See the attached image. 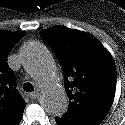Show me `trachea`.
Masks as SVG:
<instances>
[{
  "instance_id": "trachea-1",
  "label": "trachea",
  "mask_w": 125,
  "mask_h": 125,
  "mask_svg": "<svg viewBox=\"0 0 125 125\" xmlns=\"http://www.w3.org/2000/svg\"><path fill=\"white\" fill-rule=\"evenodd\" d=\"M23 89L26 92H32L34 90V86L31 83L27 82L23 85Z\"/></svg>"
}]
</instances>
